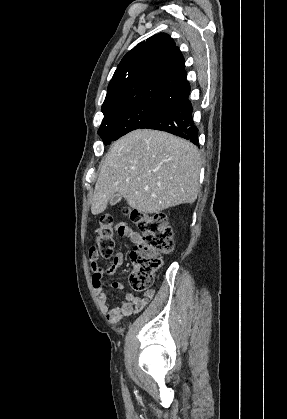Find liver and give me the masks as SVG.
<instances>
[{
  "instance_id": "liver-1",
  "label": "liver",
  "mask_w": 287,
  "mask_h": 419,
  "mask_svg": "<svg viewBox=\"0 0 287 419\" xmlns=\"http://www.w3.org/2000/svg\"><path fill=\"white\" fill-rule=\"evenodd\" d=\"M198 148L172 134L138 129L113 143L100 164L91 213L98 215L117 193L141 213L193 203L199 192Z\"/></svg>"
}]
</instances>
